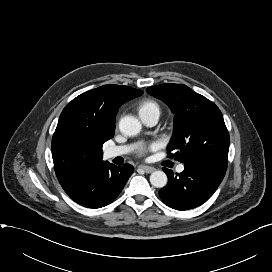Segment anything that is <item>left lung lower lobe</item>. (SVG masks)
<instances>
[{
  "instance_id": "0a47b994",
  "label": "left lung lower lobe",
  "mask_w": 272,
  "mask_h": 272,
  "mask_svg": "<svg viewBox=\"0 0 272 272\" xmlns=\"http://www.w3.org/2000/svg\"><path fill=\"white\" fill-rule=\"evenodd\" d=\"M228 161L201 160L184 165V171L174 176L163 168L168 176L167 185L159 191L161 200L170 208L187 210L207 201L222 182Z\"/></svg>"
}]
</instances>
